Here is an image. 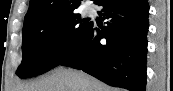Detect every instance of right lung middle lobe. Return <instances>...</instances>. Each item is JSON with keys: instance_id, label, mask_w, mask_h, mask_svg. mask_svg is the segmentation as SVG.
Returning <instances> with one entry per match:
<instances>
[{"instance_id": "obj_1", "label": "right lung middle lobe", "mask_w": 173, "mask_h": 91, "mask_svg": "<svg viewBox=\"0 0 173 91\" xmlns=\"http://www.w3.org/2000/svg\"><path fill=\"white\" fill-rule=\"evenodd\" d=\"M91 22L73 13L60 19L23 28L21 78L43 74L60 62L82 41Z\"/></svg>"}]
</instances>
